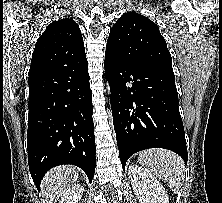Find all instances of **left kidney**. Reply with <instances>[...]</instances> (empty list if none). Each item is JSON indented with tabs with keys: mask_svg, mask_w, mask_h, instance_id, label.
I'll return each instance as SVG.
<instances>
[{
	"mask_svg": "<svg viewBox=\"0 0 222 203\" xmlns=\"http://www.w3.org/2000/svg\"><path fill=\"white\" fill-rule=\"evenodd\" d=\"M128 176L139 203H169L164 187L148 170L131 164Z\"/></svg>",
	"mask_w": 222,
	"mask_h": 203,
	"instance_id": "5707ae66",
	"label": "left kidney"
}]
</instances>
